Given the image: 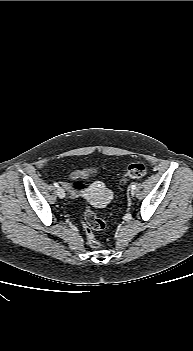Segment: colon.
I'll list each match as a JSON object with an SVG mask.
<instances>
[{
	"instance_id": "5ec220e1",
	"label": "colon",
	"mask_w": 193,
	"mask_h": 351,
	"mask_svg": "<svg viewBox=\"0 0 193 351\" xmlns=\"http://www.w3.org/2000/svg\"><path fill=\"white\" fill-rule=\"evenodd\" d=\"M146 174L147 167L143 163H133L130 164L126 171L120 175V182L123 183L129 178L139 179L144 177ZM83 189L84 186L81 182H74L70 186V191L74 196L82 192ZM83 225L89 245L96 249L101 248L102 242L94 236L93 231L103 230L107 227V224L98 218L90 209H87L84 213Z\"/></svg>"
}]
</instances>
